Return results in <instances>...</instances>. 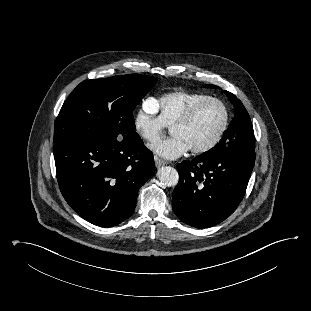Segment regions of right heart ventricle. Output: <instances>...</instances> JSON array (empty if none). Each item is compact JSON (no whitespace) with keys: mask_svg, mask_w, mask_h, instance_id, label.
Wrapping results in <instances>:
<instances>
[{"mask_svg":"<svg viewBox=\"0 0 311 311\" xmlns=\"http://www.w3.org/2000/svg\"><path fill=\"white\" fill-rule=\"evenodd\" d=\"M208 97L205 94L176 91L154 100L159 117L166 127L172 126L192 105Z\"/></svg>","mask_w":311,"mask_h":311,"instance_id":"e07e8e85","label":"right heart ventricle"}]
</instances>
